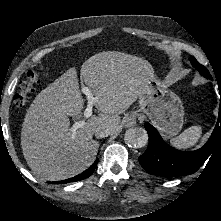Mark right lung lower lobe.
I'll use <instances>...</instances> for the list:
<instances>
[{
  "mask_svg": "<svg viewBox=\"0 0 221 221\" xmlns=\"http://www.w3.org/2000/svg\"><path fill=\"white\" fill-rule=\"evenodd\" d=\"M97 163H98V159L84 172H82L81 174L73 177V178H69L66 180H62V181H56V182H52L53 184H64V183H70V182H76V181H80L83 180L85 178H88L96 169L97 167Z\"/></svg>",
  "mask_w": 221,
  "mask_h": 221,
  "instance_id": "right-lung-lower-lobe-1",
  "label": "right lung lower lobe"
}]
</instances>
